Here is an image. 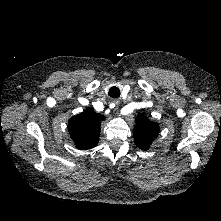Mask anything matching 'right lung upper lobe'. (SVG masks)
<instances>
[{
    "label": "right lung upper lobe",
    "instance_id": "obj_1",
    "mask_svg": "<svg viewBox=\"0 0 221 221\" xmlns=\"http://www.w3.org/2000/svg\"><path fill=\"white\" fill-rule=\"evenodd\" d=\"M103 119L104 117L95 113L92 108L70 119L68 130L78 149L87 150L97 145Z\"/></svg>",
    "mask_w": 221,
    "mask_h": 221
}]
</instances>
